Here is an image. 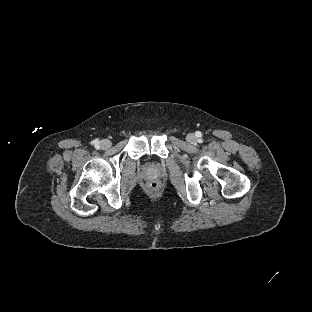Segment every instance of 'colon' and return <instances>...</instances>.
Wrapping results in <instances>:
<instances>
[{
	"instance_id": "colon-1",
	"label": "colon",
	"mask_w": 312,
	"mask_h": 312,
	"mask_svg": "<svg viewBox=\"0 0 312 312\" xmlns=\"http://www.w3.org/2000/svg\"><path fill=\"white\" fill-rule=\"evenodd\" d=\"M149 187H150L151 190L156 191V190L159 189L160 184H159L158 181L153 180V181L150 182Z\"/></svg>"
}]
</instances>
